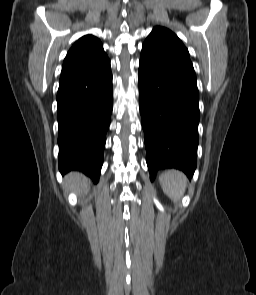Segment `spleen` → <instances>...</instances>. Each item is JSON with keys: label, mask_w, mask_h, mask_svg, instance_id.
<instances>
[{"label": "spleen", "mask_w": 256, "mask_h": 295, "mask_svg": "<svg viewBox=\"0 0 256 295\" xmlns=\"http://www.w3.org/2000/svg\"><path fill=\"white\" fill-rule=\"evenodd\" d=\"M160 183L163 191L173 202H178L185 192L187 179L184 174L176 170H168L161 175Z\"/></svg>", "instance_id": "obj_1"}]
</instances>
